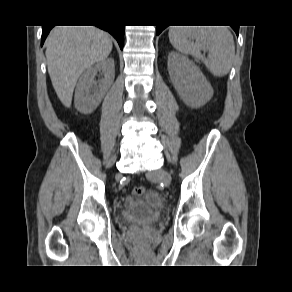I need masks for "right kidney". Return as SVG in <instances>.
I'll return each instance as SVG.
<instances>
[{
    "label": "right kidney",
    "mask_w": 292,
    "mask_h": 292,
    "mask_svg": "<svg viewBox=\"0 0 292 292\" xmlns=\"http://www.w3.org/2000/svg\"><path fill=\"white\" fill-rule=\"evenodd\" d=\"M101 71L104 78L96 81L95 76ZM114 78L113 58L101 60L87 68L79 78L75 90L74 103L77 110L84 114L93 112L113 84Z\"/></svg>",
    "instance_id": "1"
}]
</instances>
